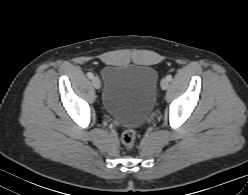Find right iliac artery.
Returning a JSON list of instances; mask_svg holds the SVG:
<instances>
[{"label":"right iliac artery","instance_id":"82829eb1","mask_svg":"<svg viewBox=\"0 0 248 195\" xmlns=\"http://www.w3.org/2000/svg\"><path fill=\"white\" fill-rule=\"evenodd\" d=\"M87 76H88L89 79H92L94 77V75L91 72H88Z\"/></svg>","mask_w":248,"mask_h":195}]
</instances>
